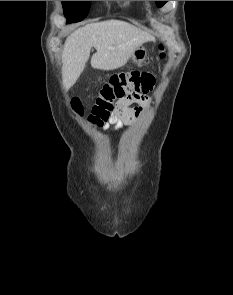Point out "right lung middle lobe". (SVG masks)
I'll return each instance as SVG.
<instances>
[{
    "label": "right lung middle lobe",
    "mask_w": 233,
    "mask_h": 295,
    "mask_svg": "<svg viewBox=\"0 0 233 295\" xmlns=\"http://www.w3.org/2000/svg\"><path fill=\"white\" fill-rule=\"evenodd\" d=\"M64 15L68 22L83 20L90 9L91 1H62Z\"/></svg>",
    "instance_id": "right-lung-middle-lobe-1"
}]
</instances>
